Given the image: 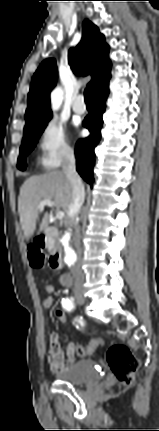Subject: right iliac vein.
Masks as SVG:
<instances>
[{
	"label": "right iliac vein",
	"mask_w": 159,
	"mask_h": 431,
	"mask_svg": "<svg viewBox=\"0 0 159 431\" xmlns=\"http://www.w3.org/2000/svg\"><path fill=\"white\" fill-rule=\"evenodd\" d=\"M75 298H76L77 303H79L81 305H83L86 301L85 296H84L83 292H81V291H75Z\"/></svg>",
	"instance_id": "1"
}]
</instances>
